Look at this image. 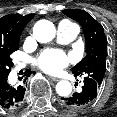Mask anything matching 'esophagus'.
<instances>
[{
  "label": "esophagus",
  "mask_w": 117,
  "mask_h": 117,
  "mask_svg": "<svg viewBox=\"0 0 117 117\" xmlns=\"http://www.w3.org/2000/svg\"><path fill=\"white\" fill-rule=\"evenodd\" d=\"M50 79L52 80V81H55V82H57V81H59V78H57V77H50Z\"/></svg>",
  "instance_id": "obj_1"
}]
</instances>
